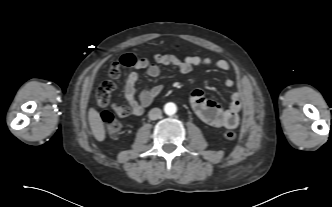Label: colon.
I'll use <instances>...</instances> for the list:
<instances>
[{
	"label": "colon",
	"mask_w": 332,
	"mask_h": 207,
	"mask_svg": "<svg viewBox=\"0 0 332 207\" xmlns=\"http://www.w3.org/2000/svg\"><path fill=\"white\" fill-rule=\"evenodd\" d=\"M137 62V59L132 54H124L117 61H115L109 70V79L104 80L96 91V100L97 103L103 107H110L115 114H125L126 107L125 105L119 104L117 102H112L110 100V94L116 87L114 82L115 79L119 78L121 75V67H131L134 66ZM102 121L105 124L107 133L110 136L118 135L122 130V123L119 121L111 112L105 111L101 115ZM224 137L227 140H234L236 138V134L233 131H226L224 133Z\"/></svg>",
	"instance_id": "colon-1"
}]
</instances>
